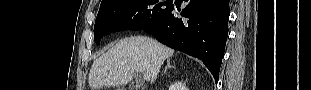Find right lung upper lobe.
<instances>
[{"label":"right lung upper lobe","mask_w":311,"mask_h":90,"mask_svg":"<svg viewBox=\"0 0 311 90\" xmlns=\"http://www.w3.org/2000/svg\"><path fill=\"white\" fill-rule=\"evenodd\" d=\"M106 0H102V2L101 3H103V2H105Z\"/></svg>","instance_id":"right-lung-upper-lobe-1"}]
</instances>
